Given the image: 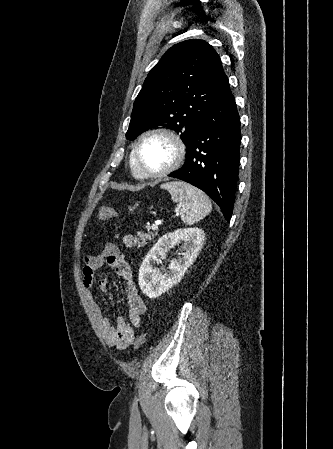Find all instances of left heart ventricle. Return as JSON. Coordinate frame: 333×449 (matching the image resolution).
<instances>
[{"instance_id": "b2bd125f", "label": "left heart ventricle", "mask_w": 333, "mask_h": 449, "mask_svg": "<svg viewBox=\"0 0 333 449\" xmlns=\"http://www.w3.org/2000/svg\"><path fill=\"white\" fill-rule=\"evenodd\" d=\"M173 146L164 137L147 138L141 145L139 157L145 171L155 172L165 168L173 159Z\"/></svg>"}]
</instances>
